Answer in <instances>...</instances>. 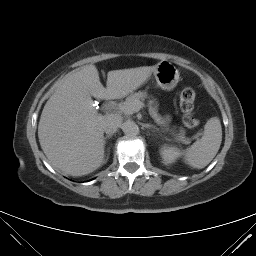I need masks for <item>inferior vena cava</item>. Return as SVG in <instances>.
<instances>
[{"label":"inferior vena cava","mask_w":256,"mask_h":256,"mask_svg":"<svg viewBox=\"0 0 256 256\" xmlns=\"http://www.w3.org/2000/svg\"><path fill=\"white\" fill-rule=\"evenodd\" d=\"M121 124V117L118 114H107L104 116L103 129L107 134L115 133Z\"/></svg>","instance_id":"inferior-vena-cava-1"}]
</instances>
